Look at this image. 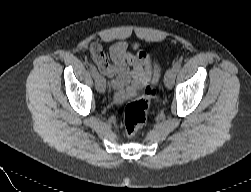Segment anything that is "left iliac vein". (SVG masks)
Segmentation results:
<instances>
[{
    "label": "left iliac vein",
    "mask_w": 251,
    "mask_h": 192,
    "mask_svg": "<svg viewBox=\"0 0 251 192\" xmlns=\"http://www.w3.org/2000/svg\"><path fill=\"white\" fill-rule=\"evenodd\" d=\"M175 77H176V71L173 68L169 69L166 72L165 78H164V83L168 89H171L172 86L174 85Z\"/></svg>",
    "instance_id": "obj_1"
}]
</instances>
